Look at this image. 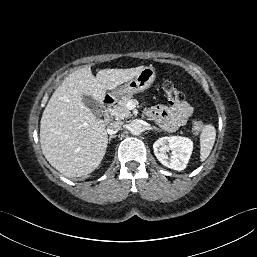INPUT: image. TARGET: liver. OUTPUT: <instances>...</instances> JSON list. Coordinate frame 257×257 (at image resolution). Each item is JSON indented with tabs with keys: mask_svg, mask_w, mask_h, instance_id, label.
<instances>
[{
	"mask_svg": "<svg viewBox=\"0 0 257 257\" xmlns=\"http://www.w3.org/2000/svg\"><path fill=\"white\" fill-rule=\"evenodd\" d=\"M143 68L102 69L95 77L90 67H84L65 78L40 122L41 149L51 166L67 178H76L100 165L108 143L106 125L84 105L83 95L102 105L107 90L130 81Z\"/></svg>",
	"mask_w": 257,
	"mask_h": 257,
	"instance_id": "obj_1",
	"label": "liver"
}]
</instances>
